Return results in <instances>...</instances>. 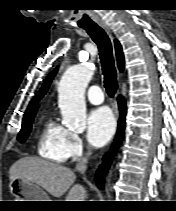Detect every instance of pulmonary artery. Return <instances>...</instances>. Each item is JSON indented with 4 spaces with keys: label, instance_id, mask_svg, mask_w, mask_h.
<instances>
[{
    "label": "pulmonary artery",
    "instance_id": "1",
    "mask_svg": "<svg viewBox=\"0 0 176 211\" xmlns=\"http://www.w3.org/2000/svg\"><path fill=\"white\" fill-rule=\"evenodd\" d=\"M88 101L94 105H99L104 101V95L99 86L93 85L87 90Z\"/></svg>",
    "mask_w": 176,
    "mask_h": 211
}]
</instances>
